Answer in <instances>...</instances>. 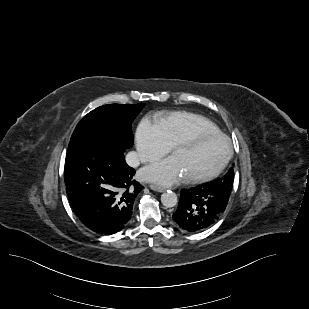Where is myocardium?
Segmentation results:
<instances>
[{"mask_svg":"<svg viewBox=\"0 0 309 309\" xmlns=\"http://www.w3.org/2000/svg\"><path fill=\"white\" fill-rule=\"evenodd\" d=\"M206 138H219L222 139L226 144V153L220 164L210 173L199 175V176H189L187 177V181L191 183H205L208 181L213 180L217 176H219L223 170L228 165L232 155H233V146L230 138L225 135L222 132H213V131H206V130H200V131H194L191 134L181 138L173 145V152L184 146L195 144L203 139Z\"/></svg>","mask_w":309,"mask_h":309,"instance_id":"obj_1","label":"myocardium"}]
</instances>
